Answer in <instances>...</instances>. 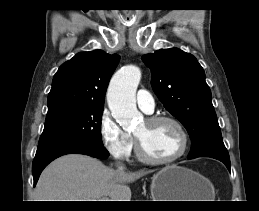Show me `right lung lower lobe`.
Listing matches in <instances>:
<instances>
[{
  "mask_svg": "<svg viewBox=\"0 0 259 211\" xmlns=\"http://www.w3.org/2000/svg\"><path fill=\"white\" fill-rule=\"evenodd\" d=\"M78 153L92 157L106 159L109 152L103 146L74 141L63 140L38 145L37 152L32 164L34 186L36 185L42 170L54 159L65 154Z\"/></svg>",
  "mask_w": 259,
  "mask_h": 211,
  "instance_id": "right-lung-lower-lobe-1",
  "label": "right lung lower lobe"
}]
</instances>
